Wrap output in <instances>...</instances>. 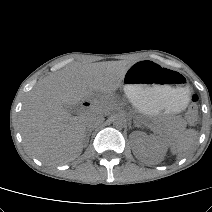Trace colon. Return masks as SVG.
Here are the masks:
<instances>
[{
	"instance_id": "obj_1",
	"label": "colon",
	"mask_w": 212,
	"mask_h": 212,
	"mask_svg": "<svg viewBox=\"0 0 212 212\" xmlns=\"http://www.w3.org/2000/svg\"><path fill=\"white\" fill-rule=\"evenodd\" d=\"M196 102H197V96L195 94H192L191 95V103L186 112V118L190 124H193L197 120V117H198V108H197Z\"/></svg>"
}]
</instances>
